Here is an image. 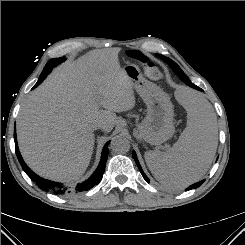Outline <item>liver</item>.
<instances>
[{"label": "liver", "instance_id": "6515ba94", "mask_svg": "<svg viewBox=\"0 0 245 245\" xmlns=\"http://www.w3.org/2000/svg\"><path fill=\"white\" fill-rule=\"evenodd\" d=\"M120 50H92L59 67L23 103L17 119L19 148L38 175L78 180L93 154L95 125L102 123V130L110 132L115 112L135 106L132 82L119 64Z\"/></svg>", "mask_w": 245, "mask_h": 245}]
</instances>
